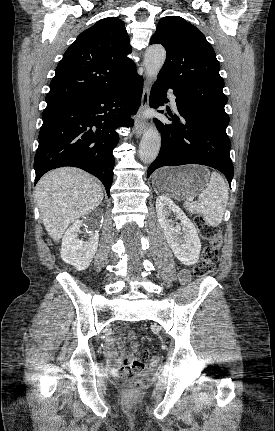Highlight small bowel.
Masks as SVG:
<instances>
[{"label":"small bowel","instance_id":"1","mask_svg":"<svg viewBox=\"0 0 275 431\" xmlns=\"http://www.w3.org/2000/svg\"><path fill=\"white\" fill-rule=\"evenodd\" d=\"M181 279L184 282L189 281L190 276L187 272H182L181 273ZM125 333V326H119L116 328L114 336L108 340L106 347H105V353L106 356L108 357L109 361L112 363H118L119 360L117 358V352L115 349V346L117 345V347L120 349L121 353L126 355L125 358V363L127 362H131L133 360L132 356L126 352L125 349V345L122 342L121 337L123 336V334Z\"/></svg>","mask_w":275,"mask_h":431}]
</instances>
